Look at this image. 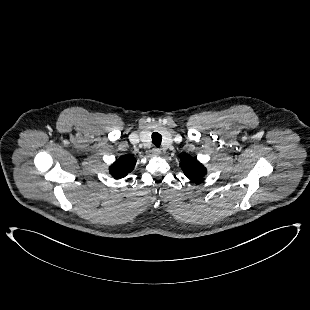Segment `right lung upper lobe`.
Here are the masks:
<instances>
[{"instance_id": "cb5924a9", "label": "right lung upper lobe", "mask_w": 310, "mask_h": 310, "mask_svg": "<svg viewBox=\"0 0 310 310\" xmlns=\"http://www.w3.org/2000/svg\"><path fill=\"white\" fill-rule=\"evenodd\" d=\"M135 164L136 159L132 155L121 156L110 166L109 172L114 178L120 179L130 173Z\"/></svg>"}]
</instances>
